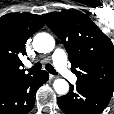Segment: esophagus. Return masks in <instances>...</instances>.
<instances>
[{
	"label": "esophagus",
	"instance_id": "34e87169",
	"mask_svg": "<svg viewBox=\"0 0 114 114\" xmlns=\"http://www.w3.org/2000/svg\"><path fill=\"white\" fill-rule=\"evenodd\" d=\"M49 78H50L51 80H54V79L57 78V76L50 74V75H49Z\"/></svg>",
	"mask_w": 114,
	"mask_h": 114
}]
</instances>
